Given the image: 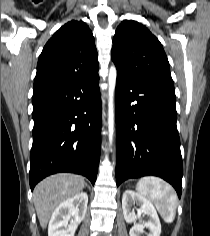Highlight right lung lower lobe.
Listing matches in <instances>:
<instances>
[{
  "label": "right lung lower lobe",
  "mask_w": 210,
  "mask_h": 236,
  "mask_svg": "<svg viewBox=\"0 0 210 236\" xmlns=\"http://www.w3.org/2000/svg\"><path fill=\"white\" fill-rule=\"evenodd\" d=\"M31 190L46 176L71 172L95 183L101 147L98 71L33 98Z\"/></svg>",
  "instance_id": "98d812e1"
}]
</instances>
